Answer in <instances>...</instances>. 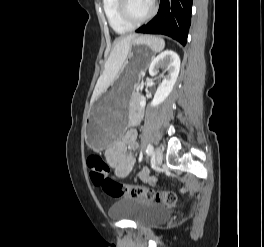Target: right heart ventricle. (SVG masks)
Returning a JSON list of instances; mask_svg holds the SVG:
<instances>
[{"mask_svg":"<svg viewBox=\"0 0 264 247\" xmlns=\"http://www.w3.org/2000/svg\"><path fill=\"white\" fill-rule=\"evenodd\" d=\"M102 7L110 27L116 33L124 34L132 29L118 13V0H102Z\"/></svg>","mask_w":264,"mask_h":247,"instance_id":"obj_1","label":"right heart ventricle"}]
</instances>
